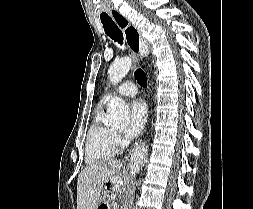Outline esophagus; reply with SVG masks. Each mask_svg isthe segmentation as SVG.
Wrapping results in <instances>:
<instances>
[{
	"mask_svg": "<svg viewBox=\"0 0 253 209\" xmlns=\"http://www.w3.org/2000/svg\"><path fill=\"white\" fill-rule=\"evenodd\" d=\"M111 16L120 28H122L121 25H125L122 29L124 30L126 42L130 50L133 52L136 61L142 60L146 55L147 46L143 41L139 30L117 10L111 11ZM147 77L149 78L148 74ZM138 148L139 144L136 143L134 148L128 153L127 159L130 163H134L133 156Z\"/></svg>",
	"mask_w": 253,
	"mask_h": 209,
	"instance_id": "34e87169",
	"label": "esophagus"
}]
</instances>
